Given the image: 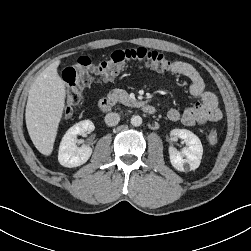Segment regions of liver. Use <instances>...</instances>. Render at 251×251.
<instances>
[{
    "label": "liver",
    "instance_id": "6515ba94",
    "mask_svg": "<svg viewBox=\"0 0 251 251\" xmlns=\"http://www.w3.org/2000/svg\"><path fill=\"white\" fill-rule=\"evenodd\" d=\"M60 61L50 64L30 87L25 119L29 136L36 149L49 156L65 107V83L58 75Z\"/></svg>",
    "mask_w": 251,
    "mask_h": 251
}]
</instances>
